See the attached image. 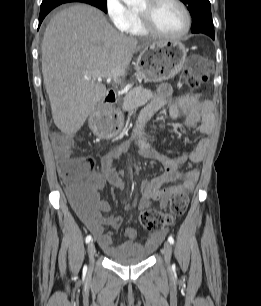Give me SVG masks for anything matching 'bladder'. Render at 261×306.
I'll return each mask as SVG.
<instances>
[{
  "label": "bladder",
  "mask_w": 261,
  "mask_h": 306,
  "mask_svg": "<svg viewBox=\"0 0 261 306\" xmlns=\"http://www.w3.org/2000/svg\"><path fill=\"white\" fill-rule=\"evenodd\" d=\"M147 253L122 255V257H110V261L120 266H132L135 264L143 263L148 259Z\"/></svg>",
  "instance_id": "1"
}]
</instances>
